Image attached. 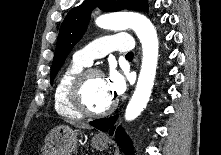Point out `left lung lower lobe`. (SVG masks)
Listing matches in <instances>:
<instances>
[{"instance_id": "left-lung-lower-lobe-1", "label": "left lung lower lobe", "mask_w": 221, "mask_h": 155, "mask_svg": "<svg viewBox=\"0 0 221 155\" xmlns=\"http://www.w3.org/2000/svg\"><path fill=\"white\" fill-rule=\"evenodd\" d=\"M117 118H118V115H115V116L109 117V118L96 119L94 121H91L90 124L92 126L96 127L97 129L102 130V131H107V130L111 129L110 135H113V131L115 130V127L112 128V126L116 122ZM115 139H116V142L118 143V145L120 146V148L127 155H130L131 154L130 141L127 138L126 134L124 133V130L121 127L117 128V130L115 132Z\"/></svg>"}]
</instances>
